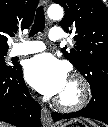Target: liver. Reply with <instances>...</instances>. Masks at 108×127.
Returning <instances> with one entry per match:
<instances>
[{
  "instance_id": "6515ba94",
  "label": "liver",
  "mask_w": 108,
  "mask_h": 127,
  "mask_svg": "<svg viewBox=\"0 0 108 127\" xmlns=\"http://www.w3.org/2000/svg\"><path fill=\"white\" fill-rule=\"evenodd\" d=\"M0 127H11V126L2 122L0 123Z\"/></svg>"
}]
</instances>
